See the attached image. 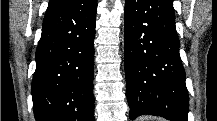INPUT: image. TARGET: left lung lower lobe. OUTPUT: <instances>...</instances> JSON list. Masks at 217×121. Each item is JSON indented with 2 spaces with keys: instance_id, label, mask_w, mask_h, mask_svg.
<instances>
[{
  "instance_id": "left-lung-lower-lobe-1",
  "label": "left lung lower lobe",
  "mask_w": 217,
  "mask_h": 121,
  "mask_svg": "<svg viewBox=\"0 0 217 121\" xmlns=\"http://www.w3.org/2000/svg\"><path fill=\"white\" fill-rule=\"evenodd\" d=\"M124 41L130 118L152 114L188 121L189 99L173 0H126Z\"/></svg>"
}]
</instances>
